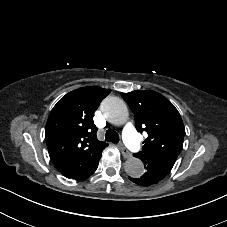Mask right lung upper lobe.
I'll use <instances>...</instances> for the list:
<instances>
[{"mask_svg": "<svg viewBox=\"0 0 227 227\" xmlns=\"http://www.w3.org/2000/svg\"><path fill=\"white\" fill-rule=\"evenodd\" d=\"M110 92L100 87H82L66 94L54 106L47 120L45 140L57 169L71 163L79 153H86L90 159L99 157L108 146L97 139L93 114Z\"/></svg>", "mask_w": 227, "mask_h": 227, "instance_id": "1", "label": "right lung upper lobe"}]
</instances>
